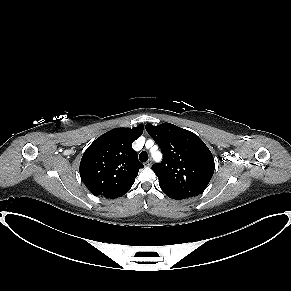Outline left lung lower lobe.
<instances>
[{
  "mask_svg": "<svg viewBox=\"0 0 291 291\" xmlns=\"http://www.w3.org/2000/svg\"><path fill=\"white\" fill-rule=\"evenodd\" d=\"M169 198H172V199H184L186 197H181L171 191H168V190H162Z\"/></svg>",
  "mask_w": 291,
  "mask_h": 291,
  "instance_id": "0a47b994",
  "label": "left lung lower lobe"
}]
</instances>
